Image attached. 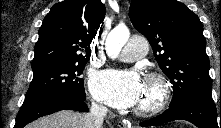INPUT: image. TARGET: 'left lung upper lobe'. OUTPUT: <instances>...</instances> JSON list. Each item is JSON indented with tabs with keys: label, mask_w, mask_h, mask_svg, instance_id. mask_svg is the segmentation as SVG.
Instances as JSON below:
<instances>
[{
	"label": "left lung upper lobe",
	"mask_w": 221,
	"mask_h": 128,
	"mask_svg": "<svg viewBox=\"0 0 221 128\" xmlns=\"http://www.w3.org/2000/svg\"><path fill=\"white\" fill-rule=\"evenodd\" d=\"M129 16L171 80L174 95L170 108L191 98H212L206 39L195 13L176 0H132Z\"/></svg>",
	"instance_id": "obj_1"
}]
</instances>
